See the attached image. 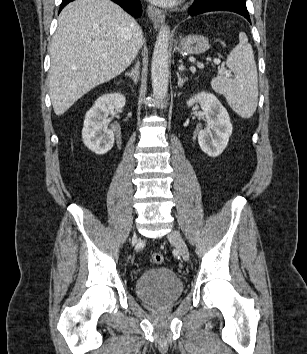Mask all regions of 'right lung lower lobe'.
Returning a JSON list of instances; mask_svg holds the SVG:
<instances>
[{"mask_svg":"<svg viewBox=\"0 0 307 354\" xmlns=\"http://www.w3.org/2000/svg\"><path fill=\"white\" fill-rule=\"evenodd\" d=\"M73 0H63L61 3L60 11ZM120 5L124 10L135 17H140L142 14V6L139 0H112Z\"/></svg>","mask_w":307,"mask_h":354,"instance_id":"right-lung-lower-lobe-1","label":"right lung lower lobe"}]
</instances>
